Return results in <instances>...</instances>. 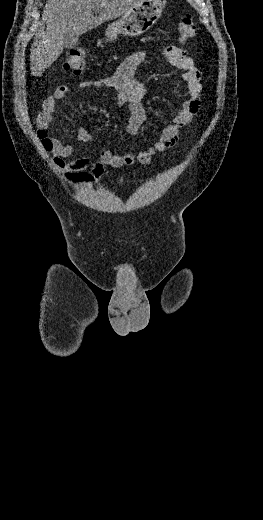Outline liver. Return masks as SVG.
<instances>
[{
	"label": "liver",
	"mask_w": 263,
	"mask_h": 520,
	"mask_svg": "<svg viewBox=\"0 0 263 520\" xmlns=\"http://www.w3.org/2000/svg\"><path fill=\"white\" fill-rule=\"evenodd\" d=\"M143 1L48 0L42 13V27L30 49L31 75L41 76L57 60L63 52L66 34H85L103 22L125 14Z\"/></svg>",
	"instance_id": "obj_1"
}]
</instances>
